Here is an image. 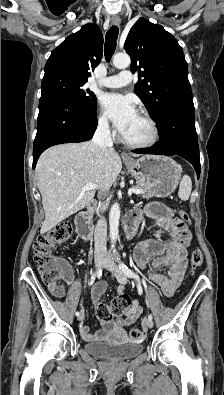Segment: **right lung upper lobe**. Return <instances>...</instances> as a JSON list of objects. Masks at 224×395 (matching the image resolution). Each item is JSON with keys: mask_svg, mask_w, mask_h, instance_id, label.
I'll use <instances>...</instances> for the list:
<instances>
[{"mask_svg": "<svg viewBox=\"0 0 224 395\" xmlns=\"http://www.w3.org/2000/svg\"><path fill=\"white\" fill-rule=\"evenodd\" d=\"M103 53V37L97 26L88 23L69 35L51 55L45 65V75L62 73L87 81L99 64Z\"/></svg>", "mask_w": 224, "mask_h": 395, "instance_id": "1", "label": "right lung upper lobe"}]
</instances>
